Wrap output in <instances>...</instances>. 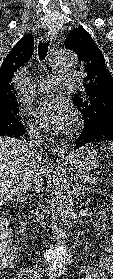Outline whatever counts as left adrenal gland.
<instances>
[{"instance_id": "a2214340", "label": "left adrenal gland", "mask_w": 113, "mask_h": 279, "mask_svg": "<svg viewBox=\"0 0 113 279\" xmlns=\"http://www.w3.org/2000/svg\"><path fill=\"white\" fill-rule=\"evenodd\" d=\"M75 190L77 191L78 194H84L85 187L82 184H78L76 180Z\"/></svg>"}]
</instances>
